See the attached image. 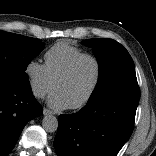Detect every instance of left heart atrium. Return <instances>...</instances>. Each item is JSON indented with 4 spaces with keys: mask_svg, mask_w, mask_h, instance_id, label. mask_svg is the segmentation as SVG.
<instances>
[{
    "mask_svg": "<svg viewBox=\"0 0 156 156\" xmlns=\"http://www.w3.org/2000/svg\"><path fill=\"white\" fill-rule=\"evenodd\" d=\"M49 106L54 110H64L70 108L69 103L65 100L63 95L54 91L48 99Z\"/></svg>",
    "mask_w": 156,
    "mask_h": 156,
    "instance_id": "left-heart-atrium-1",
    "label": "left heart atrium"
}]
</instances>
